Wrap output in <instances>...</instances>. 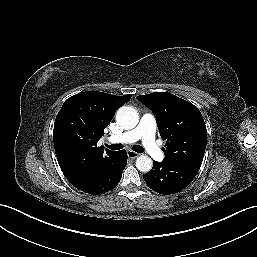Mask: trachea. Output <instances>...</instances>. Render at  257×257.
Segmentation results:
<instances>
[{"instance_id": "3493384b", "label": "trachea", "mask_w": 257, "mask_h": 257, "mask_svg": "<svg viewBox=\"0 0 257 257\" xmlns=\"http://www.w3.org/2000/svg\"><path fill=\"white\" fill-rule=\"evenodd\" d=\"M109 149H112V150H120L123 148V145L122 144H112V145H106ZM132 149L135 151V152H138V153H143L144 152V149L143 147L141 146H133Z\"/></svg>"}]
</instances>
